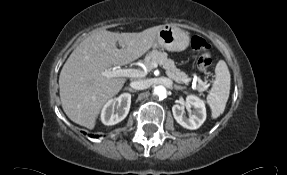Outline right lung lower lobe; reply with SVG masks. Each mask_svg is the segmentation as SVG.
Listing matches in <instances>:
<instances>
[{
	"instance_id": "obj_1",
	"label": "right lung lower lobe",
	"mask_w": 287,
	"mask_h": 175,
	"mask_svg": "<svg viewBox=\"0 0 287 175\" xmlns=\"http://www.w3.org/2000/svg\"><path fill=\"white\" fill-rule=\"evenodd\" d=\"M91 137H97V136H93V135H91Z\"/></svg>"
}]
</instances>
